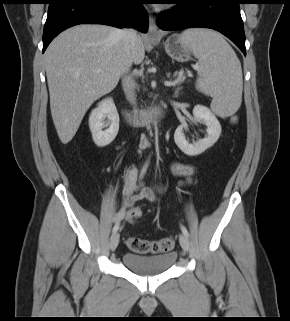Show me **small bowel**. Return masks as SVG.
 <instances>
[{
	"label": "small bowel",
	"mask_w": 290,
	"mask_h": 321,
	"mask_svg": "<svg viewBox=\"0 0 290 321\" xmlns=\"http://www.w3.org/2000/svg\"><path fill=\"white\" fill-rule=\"evenodd\" d=\"M195 171H196V168L193 165L177 163L172 166L173 174L177 176L185 177V178H190ZM133 188L134 186L130 188L129 185H127L125 189V197L123 200V205L120 208L119 213L117 215L118 219H123L126 216L127 209L130 208L135 201L139 199H146L152 202H156L158 199L157 193L161 192V189L153 190L145 187L143 184H140L138 186L136 193L132 192Z\"/></svg>",
	"instance_id": "obj_1"
}]
</instances>
